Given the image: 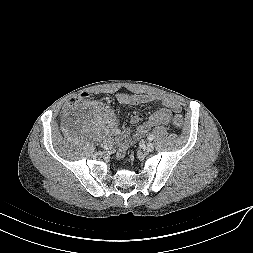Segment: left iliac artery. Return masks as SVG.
<instances>
[{
    "label": "left iliac artery",
    "mask_w": 253,
    "mask_h": 253,
    "mask_svg": "<svg viewBox=\"0 0 253 253\" xmlns=\"http://www.w3.org/2000/svg\"><path fill=\"white\" fill-rule=\"evenodd\" d=\"M147 138L149 141H152L154 139V136H153V134H149Z\"/></svg>",
    "instance_id": "left-iliac-artery-1"
}]
</instances>
